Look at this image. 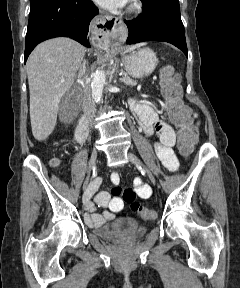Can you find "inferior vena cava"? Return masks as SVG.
<instances>
[{
    "label": "inferior vena cava",
    "instance_id": "1",
    "mask_svg": "<svg viewBox=\"0 0 240 288\" xmlns=\"http://www.w3.org/2000/svg\"><path fill=\"white\" fill-rule=\"evenodd\" d=\"M78 82L83 88V101H82V109L84 112V117L82 123H88L95 115V104L91 94V87L88 81V77L86 73L82 71V67L80 68L78 74Z\"/></svg>",
    "mask_w": 240,
    "mask_h": 288
}]
</instances>
